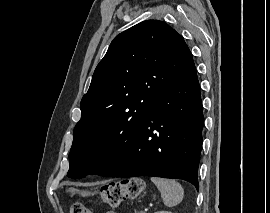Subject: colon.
Wrapping results in <instances>:
<instances>
[{
  "instance_id": "obj_1",
  "label": "colon",
  "mask_w": 270,
  "mask_h": 213,
  "mask_svg": "<svg viewBox=\"0 0 270 213\" xmlns=\"http://www.w3.org/2000/svg\"><path fill=\"white\" fill-rule=\"evenodd\" d=\"M144 190V183L141 179L130 178L106 184L101 191L102 200L112 206L117 207L123 200L134 198ZM70 213H92L83 203H74Z\"/></svg>"
}]
</instances>
